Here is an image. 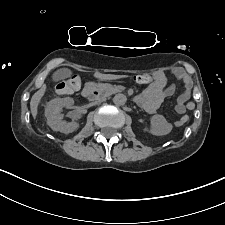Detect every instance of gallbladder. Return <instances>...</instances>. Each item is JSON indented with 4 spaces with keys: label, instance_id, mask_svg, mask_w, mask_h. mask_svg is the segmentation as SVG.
<instances>
[{
    "label": "gallbladder",
    "instance_id": "1",
    "mask_svg": "<svg viewBox=\"0 0 225 225\" xmlns=\"http://www.w3.org/2000/svg\"><path fill=\"white\" fill-rule=\"evenodd\" d=\"M71 74H72L71 70H69L67 68H62V69L57 70L53 74L52 79H53V81H60L62 79L70 77Z\"/></svg>",
    "mask_w": 225,
    "mask_h": 225
}]
</instances>
